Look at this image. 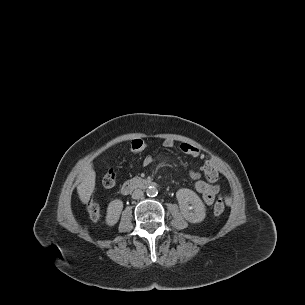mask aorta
<instances>
[{"mask_svg":"<svg viewBox=\"0 0 305 305\" xmlns=\"http://www.w3.org/2000/svg\"><path fill=\"white\" fill-rule=\"evenodd\" d=\"M146 193L149 197H155L157 194H158V190L156 187L154 186H149L147 189H146Z\"/></svg>","mask_w":305,"mask_h":305,"instance_id":"obj_1","label":"aorta"}]
</instances>
